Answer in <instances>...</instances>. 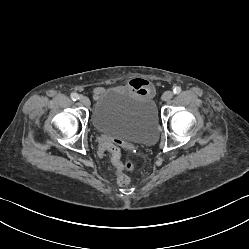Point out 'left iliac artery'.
I'll use <instances>...</instances> for the list:
<instances>
[{"mask_svg":"<svg viewBox=\"0 0 249 249\" xmlns=\"http://www.w3.org/2000/svg\"><path fill=\"white\" fill-rule=\"evenodd\" d=\"M181 92V88L179 86H176L174 89H173V93L174 94H179Z\"/></svg>","mask_w":249,"mask_h":249,"instance_id":"left-iliac-artery-1","label":"left iliac artery"}]
</instances>
